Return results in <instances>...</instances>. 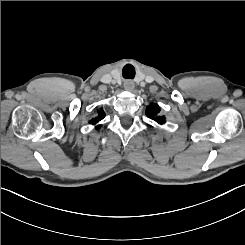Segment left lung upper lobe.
I'll return each mask as SVG.
<instances>
[{
    "label": "left lung upper lobe",
    "instance_id": "obj_1",
    "mask_svg": "<svg viewBox=\"0 0 245 245\" xmlns=\"http://www.w3.org/2000/svg\"><path fill=\"white\" fill-rule=\"evenodd\" d=\"M160 107L157 104L151 103L146 108V115L147 117L151 118L152 120L156 121L159 124L165 123V117L160 116Z\"/></svg>",
    "mask_w": 245,
    "mask_h": 245
}]
</instances>
